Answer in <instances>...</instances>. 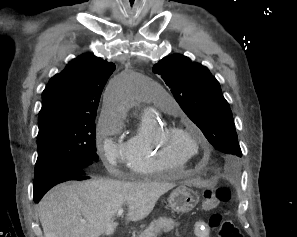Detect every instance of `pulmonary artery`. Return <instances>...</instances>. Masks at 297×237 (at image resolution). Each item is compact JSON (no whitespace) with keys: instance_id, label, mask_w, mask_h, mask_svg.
Returning a JSON list of instances; mask_svg holds the SVG:
<instances>
[{"instance_id":"obj_1","label":"pulmonary artery","mask_w":297,"mask_h":237,"mask_svg":"<svg viewBox=\"0 0 297 237\" xmlns=\"http://www.w3.org/2000/svg\"><path fill=\"white\" fill-rule=\"evenodd\" d=\"M157 103L160 105L161 108H166L172 112L177 110V103L170 95H163L159 99H157Z\"/></svg>"}]
</instances>
